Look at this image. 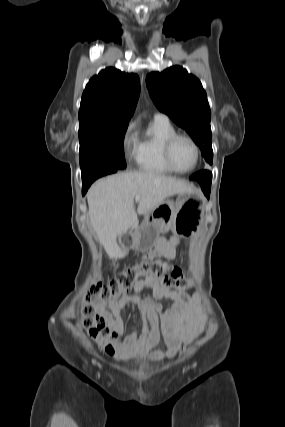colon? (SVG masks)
I'll list each match as a JSON object with an SVG mask.
<instances>
[{
    "mask_svg": "<svg viewBox=\"0 0 285 427\" xmlns=\"http://www.w3.org/2000/svg\"><path fill=\"white\" fill-rule=\"evenodd\" d=\"M140 278L156 279L164 287L183 290L192 286L191 278L184 274L181 268L169 266L160 259H143L136 265L122 270L107 282H103L97 275L90 291L84 297L81 313L83 326L100 344L107 345L108 342L116 340L118 335L106 325L104 318L96 312L92 300L107 301L117 298L129 290L134 282Z\"/></svg>",
    "mask_w": 285,
    "mask_h": 427,
    "instance_id": "obj_1",
    "label": "colon"
}]
</instances>
